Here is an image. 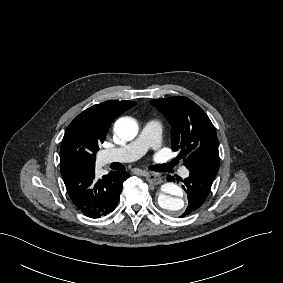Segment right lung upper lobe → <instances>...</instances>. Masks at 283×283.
<instances>
[{"label":"right lung upper lobe","instance_id":"right-lung-upper-lobe-1","mask_svg":"<svg viewBox=\"0 0 283 283\" xmlns=\"http://www.w3.org/2000/svg\"><path fill=\"white\" fill-rule=\"evenodd\" d=\"M135 104L136 102L133 101L108 100L91 106L70 123L62 143L67 141L103 142L112 121Z\"/></svg>","mask_w":283,"mask_h":283}]
</instances>
